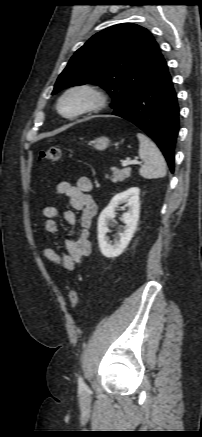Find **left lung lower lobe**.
<instances>
[{
    "label": "left lung lower lobe",
    "instance_id": "1",
    "mask_svg": "<svg viewBox=\"0 0 202 437\" xmlns=\"http://www.w3.org/2000/svg\"><path fill=\"white\" fill-rule=\"evenodd\" d=\"M112 114L131 121L150 136L162 151L170 171H174L179 106L167 64Z\"/></svg>",
    "mask_w": 202,
    "mask_h": 437
}]
</instances>
